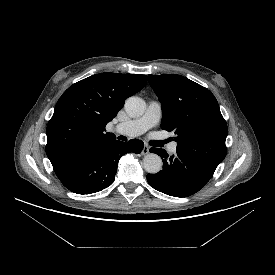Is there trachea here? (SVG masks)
I'll return each instance as SVG.
<instances>
[{"instance_id":"trachea-1","label":"trachea","mask_w":275,"mask_h":275,"mask_svg":"<svg viewBox=\"0 0 275 275\" xmlns=\"http://www.w3.org/2000/svg\"><path fill=\"white\" fill-rule=\"evenodd\" d=\"M167 142H169V140L161 141L160 144L163 145V144H166Z\"/></svg>"}]
</instances>
